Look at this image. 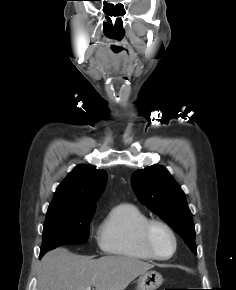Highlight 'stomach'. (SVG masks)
Wrapping results in <instances>:
<instances>
[{
	"label": "stomach",
	"instance_id": "0dacf381",
	"mask_svg": "<svg viewBox=\"0 0 236 290\" xmlns=\"http://www.w3.org/2000/svg\"><path fill=\"white\" fill-rule=\"evenodd\" d=\"M163 283V277L151 270L141 274L137 280V290H156Z\"/></svg>",
	"mask_w": 236,
	"mask_h": 290
}]
</instances>
